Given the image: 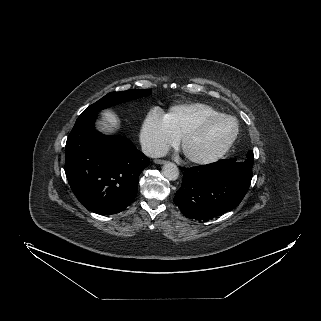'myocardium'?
Listing matches in <instances>:
<instances>
[{"instance_id":"myocardium-1","label":"myocardium","mask_w":321,"mask_h":321,"mask_svg":"<svg viewBox=\"0 0 321 321\" xmlns=\"http://www.w3.org/2000/svg\"><path fill=\"white\" fill-rule=\"evenodd\" d=\"M224 119L233 121L234 131L232 135L228 138V140L215 153L205 157L194 156L187 153L185 147L188 140L198 135L200 132H202L207 126H209L213 122L224 120ZM238 133H239V124L235 117L227 114L214 115L201 120L200 122L192 126L190 129L185 131L180 137V147L185 158L188 161L194 164L206 165V164H210L220 160L232 147V145L234 144L238 136Z\"/></svg>"}]
</instances>
